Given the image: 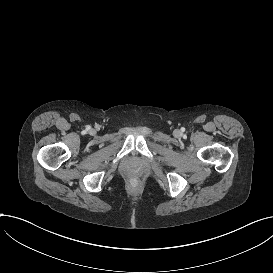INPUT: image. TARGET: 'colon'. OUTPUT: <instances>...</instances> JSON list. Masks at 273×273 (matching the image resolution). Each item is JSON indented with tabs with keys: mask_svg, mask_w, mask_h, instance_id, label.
Segmentation results:
<instances>
[{
	"mask_svg": "<svg viewBox=\"0 0 273 273\" xmlns=\"http://www.w3.org/2000/svg\"><path fill=\"white\" fill-rule=\"evenodd\" d=\"M140 188H141L140 179L133 177V178H131V180H129L128 189L130 192L137 193V192H139Z\"/></svg>",
	"mask_w": 273,
	"mask_h": 273,
	"instance_id": "5ec220e1",
	"label": "colon"
}]
</instances>
